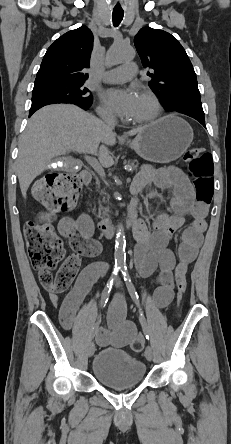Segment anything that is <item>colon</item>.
Listing matches in <instances>:
<instances>
[{
    "label": "colon",
    "instance_id": "5ec220e1",
    "mask_svg": "<svg viewBox=\"0 0 231 444\" xmlns=\"http://www.w3.org/2000/svg\"><path fill=\"white\" fill-rule=\"evenodd\" d=\"M184 163L194 181L197 201L209 204L213 195V162L209 153L202 148H191L184 155ZM82 181L75 174H49L38 180L32 189L33 197L45 206L49 213L29 221L24 235L31 263L38 273L42 286L51 293L65 291L74 280L80 259L78 254L67 257L56 273L54 270L64 256L62 241L52 225V216L73 208L82 188ZM187 289L185 275L177 277V306L183 300ZM143 342L135 340L131 349L138 352Z\"/></svg>",
    "mask_w": 231,
    "mask_h": 444
}]
</instances>
